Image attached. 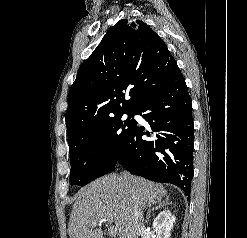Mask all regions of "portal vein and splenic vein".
<instances>
[{
  "instance_id": "18ae733b",
  "label": "portal vein and splenic vein",
  "mask_w": 247,
  "mask_h": 238,
  "mask_svg": "<svg viewBox=\"0 0 247 238\" xmlns=\"http://www.w3.org/2000/svg\"><path fill=\"white\" fill-rule=\"evenodd\" d=\"M112 219V216H110L108 219L104 218V219H101L99 223H102V222H106V221H109ZM108 231H109V234L110 235H116L117 233V228L115 226H110L108 228Z\"/></svg>"
}]
</instances>
